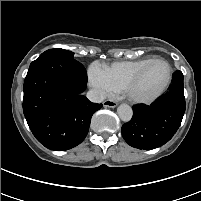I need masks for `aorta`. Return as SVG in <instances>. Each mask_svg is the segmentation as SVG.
Here are the masks:
<instances>
[{
	"label": "aorta",
	"instance_id": "1",
	"mask_svg": "<svg viewBox=\"0 0 201 201\" xmlns=\"http://www.w3.org/2000/svg\"><path fill=\"white\" fill-rule=\"evenodd\" d=\"M117 113L122 121L128 122L132 118L133 110L129 105L121 104L117 108Z\"/></svg>",
	"mask_w": 201,
	"mask_h": 201
}]
</instances>
